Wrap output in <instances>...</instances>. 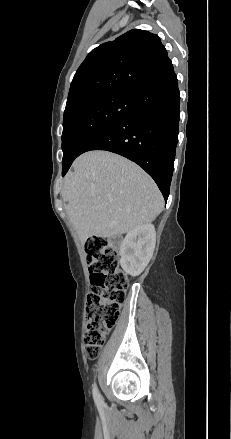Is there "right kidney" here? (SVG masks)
I'll use <instances>...</instances> for the list:
<instances>
[{
    "instance_id": "right-kidney-1",
    "label": "right kidney",
    "mask_w": 231,
    "mask_h": 439,
    "mask_svg": "<svg viewBox=\"0 0 231 439\" xmlns=\"http://www.w3.org/2000/svg\"><path fill=\"white\" fill-rule=\"evenodd\" d=\"M156 231L152 224L138 226L128 232L120 247V265L131 275H139L149 263L155 248Z\"/></svg>"
}]
</instances>
